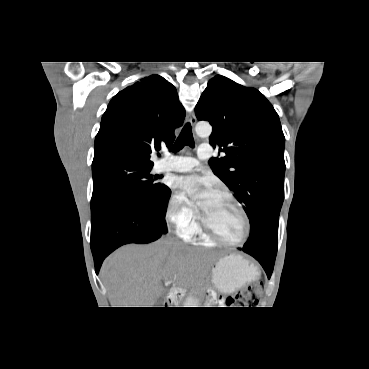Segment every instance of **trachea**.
I'll use <instances>...</instances> for the list:
<instances>
[{
	"instance_id": "obj_1",
	"label": "trachea",
	"mask_w": 369,
	"mask_h": 369,
	"mask_svg": "<svg viewBox=\"0 0 369 369\" xmlns=\"http://www.w3.org/2000/svg\"><path fill=\"white\" fill-rule=\"evenodd\" d=\"M185 145H188L192 148L194 147V138H193L192 127L190 123L185 124L176 142L174 143L172 150L174 152H177L181 150Z\"/></svg>"
}]
</instances>
